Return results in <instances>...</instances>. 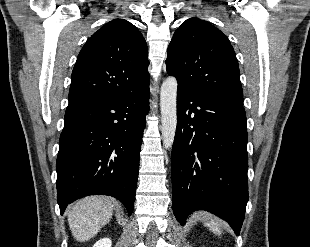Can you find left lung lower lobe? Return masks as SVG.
Returning <instances> with one entry per match:
<instances>
[{
    "label": "left lung lower lobe",
    "instance_id": "obj_1",
    "mask_svg": "<svg viewBox=\"0 0 310 247\" xmlns=\"http://www.w3.org/2000/svg\"><path fill=\"white\" fill-rule=\"evenodd\" d=\"M247 129L242 105L178 87L171 155L173 212L195 210L229 222L239 235L248 201Z\"/></svg>",
    "mask_w": 310,
    "mask_h": 247
}]
</instances>
